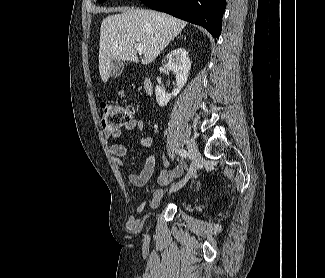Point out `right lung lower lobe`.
<instances>
[{
  "instance_id": "1",
  "label": "right lung lower lobe",
  "mask_w": 325,
  "mask_h": 278,
  "mask_svg": "<svg viewBox=\"0 0 325 278\" xmlns=\"http://www.w3.org/2000/svg\"><path fill=\"white\" fill-rule=\"evenodd\" d=\"M149 8L201 25L215 38L222 29L226 0H141ZM216 42V40H215Z\"/></svg>"
}]
</instances>
